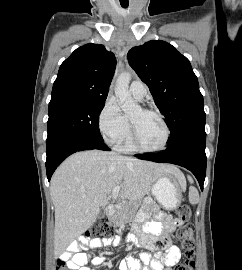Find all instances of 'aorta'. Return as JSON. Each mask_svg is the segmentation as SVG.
<instances>
[{
  "instance_id": "762f6f07",
  "label": "aorta",
  "mask_w": 242,
  "mask_h": 270,
  "mask_svg": "<svg viewBox=\"0 0 242 270\" xmlns=\"http://www.w3.org/2000/svg\"><path fill=\"white\" fill-rule=\"evenodd\" d=\"M130 73H122L118 76L115 86V95L119 99L121 109L126 114H132L140 110V106L132 99L129 92Z\"/></svg>"
}]
</instances>
